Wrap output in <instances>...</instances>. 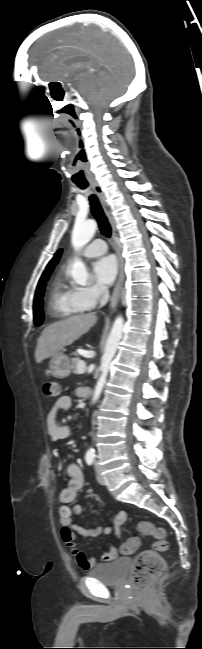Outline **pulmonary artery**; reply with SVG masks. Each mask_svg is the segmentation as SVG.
I'll list each match as a JSON object with an SVG mask.
<instances>
[{"mask_svg":"<svg viewBox=\"0 0 202 649\" xmlns=\"http://www.w3.org/2000/svg\"><path fill=\"white\" fill-rule=\"evenodd\" d=\"M107 251V246L102 239H96L86 246L82 254L86 257H95L104 254Z\"/></svg>","mask_w":202,"mask_h":649,"instance_id":"e3ab8cb5","label":"pulmonary artery"}]
</instances>
